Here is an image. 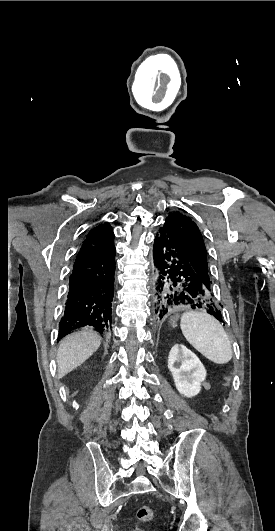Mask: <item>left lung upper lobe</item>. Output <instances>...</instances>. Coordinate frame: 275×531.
Segmentation results:
<instances>
[{"label":"left lung upper lobe","mask_w":275,"mask_h":531,"mask_svg":"<svg viewBox=\"0 0 275 531\" xmlns=\"http://www.w3.org/2000/svg\"><path fill=\"white\" fill-rule=\"evenodd\" d=\"M165 223L177 234L193 268L207 288L211 289L212 282H210L208 275L207 251L196 223L180 212L170 213Z\"/></svg>","instance_id":"5c2ea615"}]
</instances>
